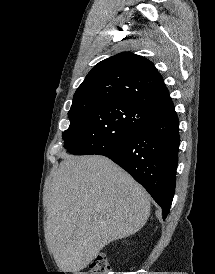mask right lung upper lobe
<instances>
[{
  "label": "right lung upper lobe",
  "mask_w": 215,
  "mask_h": 274,
  "mask_svg": "<svg viewBox=\"0 0 215 274\" xmlns=\"http://www.w3.org/2000/svg\"><path fill=\"white\" fill-rule=\"evenodd\" d=\"M119 100L153 114L174 108L163 78L144 57L124 52L99 62L76 90L73 103Z\"/></svg>",
  "instance_id": "obj_1"
}]
</instances>
